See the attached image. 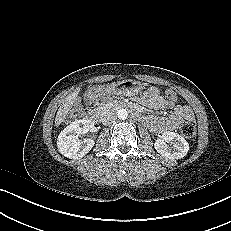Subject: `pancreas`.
I'll return each instance as SVG.
<instances>
[{
	"mask_svg": "<svg viewBox=\"0 0 231 231\" xmlns=\"http://www.w3.org/2000/svg\"><path fill=\"white\" fill-rule=\"evenodd\" d=\"M101 108H102V109H105L106 107L102 106Z\"/></svg>",
	"mask_w": 231,
	"mask_h": 231,
	"instance_id": "cf45deb5",
	"label": "pancreas"
}]
</instances>
